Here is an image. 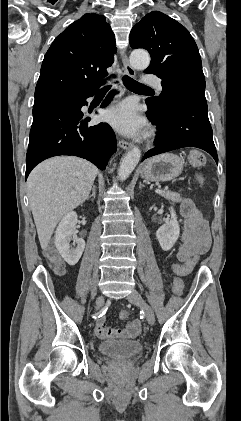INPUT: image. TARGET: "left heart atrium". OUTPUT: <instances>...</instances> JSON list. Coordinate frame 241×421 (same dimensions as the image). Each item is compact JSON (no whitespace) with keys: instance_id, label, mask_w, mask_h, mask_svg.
<instances>
[{"instance_id":"left-heart-atrium-1","label":"left heart atrium","mask_w":241,"mask_h":421,"mask_svg":"<svg viewBox=\"0 0 241 421\" xmlns=\"http://www.w3.org/2000/svg\"><path fill=\"white\" fill-rule=\"evenodd\" d=\"M105 118L118 131L127 135H140L146 127L144 119L138 115L134 104L128 101L107 110Z\"/></svg>"}]
</instances>
